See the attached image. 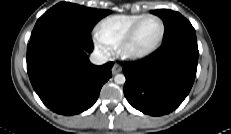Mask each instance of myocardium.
Listing matches in <instances>:
<instances>
[{"label": "myocardium", "instance_id": "f54148a6", "mask_svg": "<svg viewBox=\"0 0 231 134\" xmlns=\"http://www.w3.org/2000/svg\"><path fill=\"white\" fill-rule=\"evenodd\" d=\"M150 18H155L158 19L161 23V34L160 37L158 39V41L155 43V45H153L150 49L143 51V52H134L131 50V45L138 33V30L140 29L141 25ZM165 33H166V25L164 20L156 15V14H147L145 16H143L140 20H138L133 26L132 28L129 30V32L127 33V35L125 36V38L123 39V41L121 42V44L119 45L118 49H119V53L120 55L127 60H142L145 59L149 56H151L152 54H154L162 45L164 37H165Z\"/></svg>", "mask_w": 231, "mask_h": 134}]
</instances>
